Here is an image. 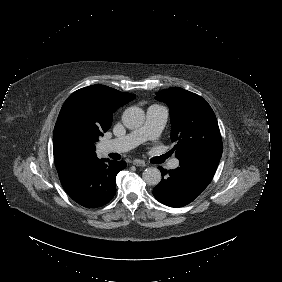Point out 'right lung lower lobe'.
Returning a JSON list of instances; mask_svg holds the SVG:
<instances>
[{"label":"right lung lower lobe","instance_id":"98d812e1","mask_svg":"<svg viewBox=\"0 0 282 282\" xmlns=\"http://www.w3.org/2000/svg\"><path fill=\"white\" fill-rule=\"evenodd\" d=\"M125 167L124 161L92 157L59 170L58 175L63 188L75 202L96 208L114 197L116 175Z\"/></svg>","mask_w":282,"mask_h":282}]
</instances>
